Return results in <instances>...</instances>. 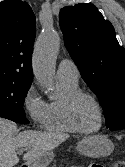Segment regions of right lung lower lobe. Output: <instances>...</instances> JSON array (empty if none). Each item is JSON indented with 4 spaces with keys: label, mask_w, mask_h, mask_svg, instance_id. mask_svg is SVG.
<instances>
[{
    "label": "right lung lower lobe",
    "mask_w": 125,
    "mask_h": 167,
    "mask_svg": "<svg viewBox=\"0 0 125 167\" xmlns=\"http://www.w3.org/2000/svg\"><path fill=\"white\" fill-rule=\"evenodd\" d=\"M0 117L12 120L17 123H24V124L29 123V121L26 119L25 116L15 114L3 108H0Z\"/></svg>",
    "instance_id": "obj_1"
}]
</instances>
